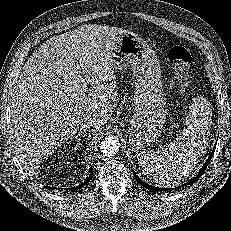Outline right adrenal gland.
Here are the masks:
<instances>
[{
	"label": "right adrenal gland",
	"instance_id": "obj_1",
	"mask_svg": "<svg viewBox=\"0 0 231 231\" xmlns=\"http://www.w3.org/2000/svg\"><path fill=\"white\" fill-rule=\"evenodd\" d=\"M86 129H80V131L78 132V134L72 138H76L77 139V145H80V137L85 136L86 135Z\"/></svg>",
	"mask_w": 231,
	"mask_h": 231
}]
</instances>
